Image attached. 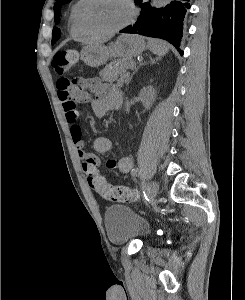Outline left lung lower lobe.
<instances>
[{"label":"left lung lower lobe","instance_id":"0a47b994","mask_svg":"<svg viewBox=\"0 0 245 300\" xmlns=\"http://www.w3.org/2000/svg\"><path fill=\"white\" fill-rule=\"evenodd\" d=\"M189 0H175L164 8H153L149 2L136 0L141 12L136 23L120 31V33L140 34L148 37L165 39L174 45L179 53L182 37L183 20L187 9L190 8Z\"/></svg>","mask_w":245,"mask_h":300}]
</instances>
